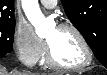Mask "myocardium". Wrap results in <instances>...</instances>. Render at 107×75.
Segmentation results:
<instances>
[{
  "instance_id": "myocardium-1",
  "label": "myocardium",
  "mask_w": 107,
  "mask_h": 75,
  "mask_svg": "<svg viewBox=\"0 0 107 75\" xmlns=\"http://www.w3.org/2000/svg\"><path fill=\"white\" fill-rule=\"evenodd\" d=\"M57 29L59 30H69L72 31L80 41L84 51H85V60L78 64V65H63L60 64L54 57L52 49L50 47V44L47 42L46 44V62L49 67L55 69V70H60V71H78L86 68L89 66L93 60V52L91 49V46L89 42L87 41L86 37L84 34L80 31L79 28H77L75 25L71 23H61L57 26Z\"/></svg>"
}]
</instances>
